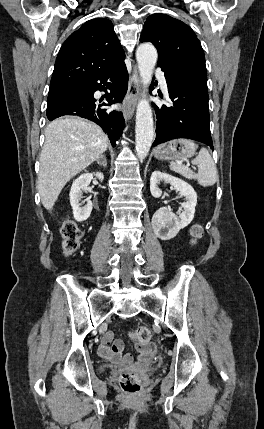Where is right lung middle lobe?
<instances>
[{"instance_id": "obj_1", "label": "right lung middle lobe", "mask_w": 264, "mask_h": 429, "mask_svg": "<svg viewBox=\"0 0 264 429\" xmlns=\"http://www.w3.org/2000/svg\"><path fill=\"white\" fill-rule=\"evenodd\" d=\"M78 85L73 86H62V87H56V88H50L49 94H48V102L56 99L60 95L74 89Z\"/></svg>"}]
</instances>
